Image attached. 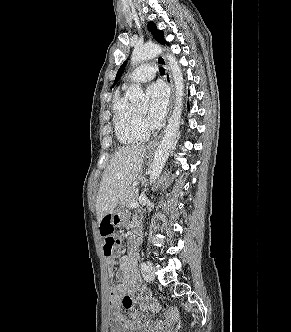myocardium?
Wrapping results in <instances>:
<instances>
[{
    "label": "myocardium",
    "instance_id": "obj_1",
    "mask_svg": "<svg viewBox=\"0 0 291 332\" xmlns=\"http://www.w3.org/2000/svg\"><path fill=\"white\" fill-rule=\"evenodd\" d=\"M137 114H138L140 119H143V113H141L139 110H137Z\"/></svg>",
    "mask_w": 291,
    "mask_h": 332
}]
</instances>
